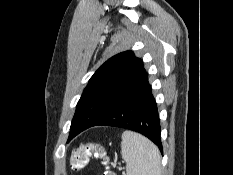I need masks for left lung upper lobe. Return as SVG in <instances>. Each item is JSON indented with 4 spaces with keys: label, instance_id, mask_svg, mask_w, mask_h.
Returning <instances> with one entry per match:
<instances>
[{
    "label": "left lung upper lobe",
    "instance_id": "1",
    "mask_svg": "<svg viewBox=\"0 0 233 175\" xmlns=\"http://www.w3.org/2000/svg\"><path fill=\"white\" fill-rule=\"evenodd\" d=\"M145 72L142 60L132 51L108 59L91 77L78 101L68 142L103 116Z\"/></svg>",
    "mask_w": 233,
    "mask_h": 175
}]
</instances>
